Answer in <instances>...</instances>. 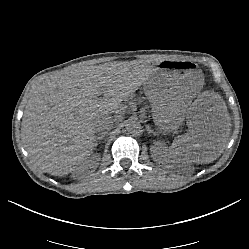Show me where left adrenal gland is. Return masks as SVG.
I'll return each mask as SVG.
<instances>
[{"label":"left adrenal gland","mask_w":249,"mask_h":249,"mask_svg":"<svg viewBox=\"0 0 249 249\" xmlns=\"http://www.w3.org/2000/svg\"><path fill=\"white\" fill-rule=\"evenodd\" d=\"M153 131H154V130H152L151 128H147L148 134H152Z\"/></svg>","instance_id":"left-adrenal-gland-1"}]
</instances>
